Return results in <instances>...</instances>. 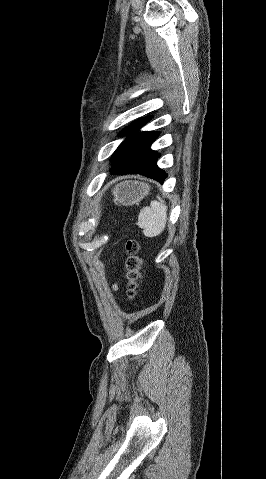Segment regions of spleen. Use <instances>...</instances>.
Returning a JSON list of instances; mask_svg holds the SVG:
<instances>
[{"instance_id": "spleen-1", "label": "spleen", "mask_w": 266, "mask_h": 479, "mask_svg": "<svg viewBox=\"0 0 266 479\" xmlns=\"http://www.w3.org/2000/svg\"><path fill=\"white\" fill-rule=\"evenodd\" d=\"M158 201H152L150 207L143 208L138 215L137 225L143 229L146 237L160 235L167 222V206L159 196Z\"/></svg>"}]
</instances>
